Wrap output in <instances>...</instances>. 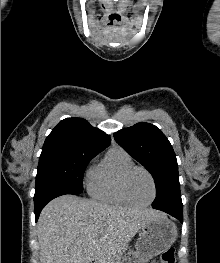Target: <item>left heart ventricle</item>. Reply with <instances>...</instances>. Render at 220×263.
<instances>
[{
  "label": "left heart ventricle",
  "instance_id": "b2bd125f",
  "mask_svg": "<svg viewBox=\"0 0 220 263\" xmlns=\"http://www.w3.org/2000/svg\"><path fill=\"white\" fill-rule=\"evenodd\" d=\"M131 198L137 203H146L152 197V184L143 171H135L128 182Z\"/></svg>",
  "mask_w": 220,
  "mask_h": 263
}]
</instances>
